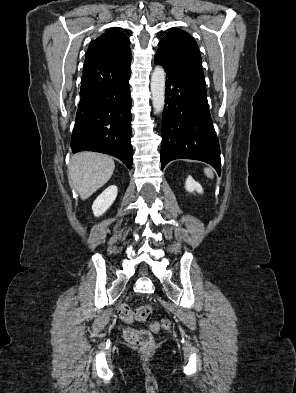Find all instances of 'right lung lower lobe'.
Here are the masks:
<instances>
[{"label": "right lung lower lobe", "instance_id": "right-lung-lower-lobe-1", "mask_svg": "<svg viewBox=\"0 0 296 393\" xmlns=\"http://www.w3.org/2000/svg\"><path fill=\"white\" fill-rule=\"evenodd\" d=\"M131 53L85 59L80 102L71 137L72 152H102L132 168Z\"/></svg>", "mask_w": 296, "mask_h": 393}]
</instances>
